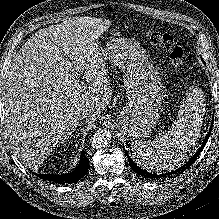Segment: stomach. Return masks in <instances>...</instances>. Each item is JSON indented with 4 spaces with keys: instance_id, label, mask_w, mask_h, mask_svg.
Instances as JSON below:
<instances>
[{
    "instance_id": "obj_1",
    "label": "stomach",
    "mask_w": 219,
    "mask_h": 219,
    "mask_svg": "<svg viewBox=\"0 0 219 219\" xmlns=\"http://www.w3.org/2000/svg\"><path fill=\"white\" fill-rule=\"evenodd\" d=\"M102 59L125 70L128 102L118 115L120 133L128 140L148 135L159 119L164 89L157 69L134 39L113 38L101 49Z\"/></svg>"
}]
</instances>
